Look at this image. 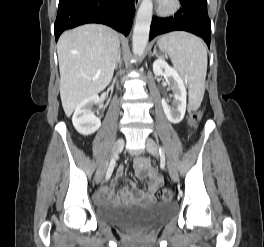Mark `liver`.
Here are the masks:
<instances>
[{"label":"liver","instance_id":"obj_1","mask_svg":"<svg viewBox=\"0 0 264 247\" xmlns=\"http://www.w3.org/2000/svg\"><path fill=\"white\" fill-rule=\"evenodd\" d=\"M119 45L118 33L99 24L82 25L60 36V97L67 117L80 102L97 95L110 83Z\"/></svg>","mask_w":264,"mask_h":247}]
</instances>
